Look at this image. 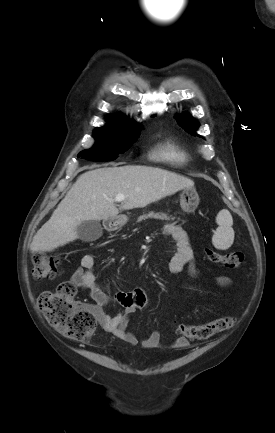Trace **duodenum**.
I'll return each instance as SVG.
<instances>
[{
    "instance_id": "duodenum-1",
    "label": "duodenum",
    "mask_w": 275,
    "mask_h": 433,
    "mask_svg": "<svg viewBox=\"0 0 275 433\" xmlns=\"http://www.w3.org/2000/svg\"><path fill=\"white\" fill-rule=\"evenodd\" d=\"M104 226L108 229V230H115L117 225L115 223V221L113 219H106L104 221Z\"/></svg>"
}]
</instances>
